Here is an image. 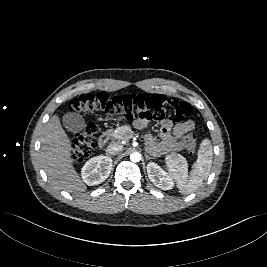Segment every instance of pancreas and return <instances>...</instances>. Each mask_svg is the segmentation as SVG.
<instances>
[{
  "instance_id": "1",
  "label": "pancreas",
  "mask_w": 267,
  "mask_h": 267,
  "mask_svg": "<svg viewBox=\"0 0 267 267\" xmlns=\"http://www.w3.org/2000/svg\"><path fill=\"white\" fill-rule=\"evenodd\" d=\"M110 136L119 142L128 140L129 136L133 135L134 132L131 130L130 126L124 125L116 128L109 132ZM174 155H169L168 159H172Z\"/></svg>"
}]
</instances>
